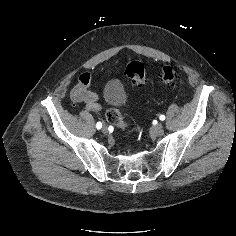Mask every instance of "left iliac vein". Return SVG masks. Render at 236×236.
<instances>
[{"mask_svg":"<svg viewBox=\"0 0 236 236\" xmlns=\"http://www.w3.org/2000/svg\"><path fill=\"white\" fill-rule=\"evenodd\" d=\"M164 127L161 123L152 127L151 132L154 135H161L163 133Z\"/></svg>","mask_w":236,"mask_h":236,"instance_id":"obj_1","label":"left iliac vein"}]
</instances>
